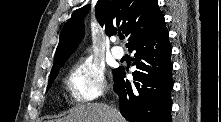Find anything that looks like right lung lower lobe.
Returning a JSON list of instances; mask_svg holds the SVG:
<instances>
[{
    "instance_id": "obj_1",
    "label": "right lung lower lobe",
    "mask_w": 221,
    "mask_h": 122,
    "mask_svg": "<svg viewBox=\"0 0 221 122\" xmlns=\"http://www.w3.org/2000/svg\"><path fill=\"white\" fill-rule=\"evenodd\" d=\"M165 21L149 35L133 44L136 82L124 80L125 70L115 69L114 91L118 94L121 114L129 122H171L170 91L173 88L171 46Z\"/></svg>"
}]
</instances>
